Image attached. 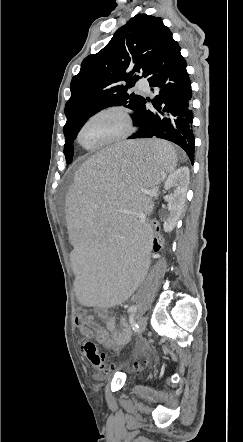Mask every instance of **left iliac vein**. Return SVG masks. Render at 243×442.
Listing matches in <instances>:
<instances>
[{"mask_svg": "<svg viewBox=\"0 0 243 442\" xmlns=\"http://www.w3.org/2000/svg\"><path fill=\"white\" fill-rule=\"evenodd\" d=\"M137 323H138V326H139L137 334H138V337H140L143 334V332L145 331L146 326H147V319H146V317L141 315L138 318ZM137 346L138 347L140 346V342L139 341H137Z\"/></svg>", "mask_w": 243, "mask_h": 442, "instance_id": "1", "label": "left iliac vein"}]
</instances>
